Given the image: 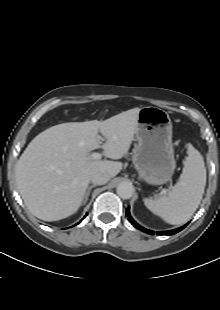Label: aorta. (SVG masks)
<instances>
[{
    "label": "aorta",
    "instance_id": "762f6f07",
    "mask_svg": "<svg viewBox=\"0 0 220 310\" xmlns=\"http://www.w3.org/2000/svg\"><path fill=\"white\" fill-rule=\"evenodd\" d=\"M117 194L123 199H130L134 193V187L130 182H121L117 186Z\"/></svg>",
    "mask_w": 220,
    "mask_h": 310
}]
</instances>
